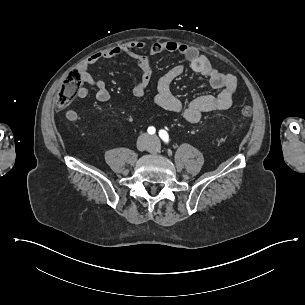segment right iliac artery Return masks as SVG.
Returning <instances> with one entry per match:
<instances>
[{
  "label": "right iliac artery",
  "instance_id": "1",
  "mask_svg": "<svg viewBox=\"0 0 305 305\" xmlns=\"http://www.w3.org/2000/svg\"><path fill=\"white\" fill-rule=\"evenodd\" d=\"M147 131L149 134L153 135L156 132V129L153 126H150Z\"/></svg>",
  "mask_w": 305,
  "mask_h": 305
}]
</instances>
